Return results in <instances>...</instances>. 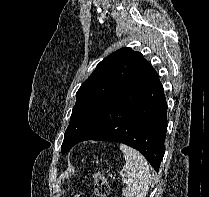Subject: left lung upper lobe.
Returning <instances> with one entry per match:
<instances>
[{
    "label": "left lung upper lobe",
    "mask_w": 209,
    "mask_h": 197,
    "mask_svg": "<svg viewBox=\"0 0 209 197\" xmlns=\"http://www.w3.org/2000/svg\"><path fill=\"white\" fill-rule=\"evenodd\" d=\"M152 68L140 52L128 47L104 58L77 91L62 153L77 144L108 107Z\"/></svg>",
    "instance_id": "obj_1"
}]
</instances>
